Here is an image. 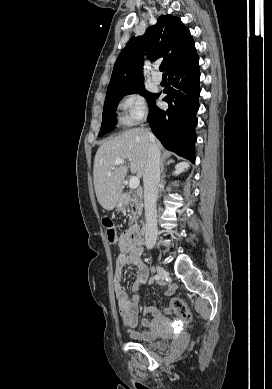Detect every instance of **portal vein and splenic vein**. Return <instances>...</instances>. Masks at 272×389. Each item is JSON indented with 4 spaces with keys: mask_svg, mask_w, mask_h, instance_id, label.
Returning a JSON list of instances; mask_svg holds the SVG:
<instances>
[{
    "mask_svg": "<svg viewBox=\"0 0 272 389\" xmlns=\"http://www.w3.org/2000/svg\"><path fill=\"white\" fill-rule=\"evenodd\" d=\"M124 160L123 159H116L115 162L113 163V166H117V165H120V164H124ZM110 175V173H109ZM139 184H140V181H139V178L138 177H131L130 180H129V186L131 189H136L139 187Z\"/></svg>",
    "mask_w": 272,
    "mask_h": 389,
    "instance_id": "obj_1",
    "label": "portal vein and splenic vein"
}]
</instances>
